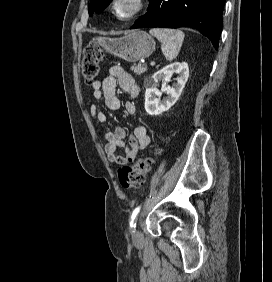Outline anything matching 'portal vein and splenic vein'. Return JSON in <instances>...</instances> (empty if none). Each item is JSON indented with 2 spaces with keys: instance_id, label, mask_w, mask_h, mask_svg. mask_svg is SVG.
I'll use <instances>...</instances> for the list:
<instances>
[{
  "instance_id": "18ae733b",
  "label": "portal vein and splenic vein",
  "mask_w": 272,
  "mask_h": 282,
  "mask_svg": "<svg viewBox=\"0 0 272 282\" xmlns=\"http://www.w3.org/2000/svg\"><path fill=\"white\" fill-rule=\"evenodd\" d=\"M150 65H151V66L155 65V62H154V61H152V62L150 63Z\"/></svg>"
}]
</instances>
